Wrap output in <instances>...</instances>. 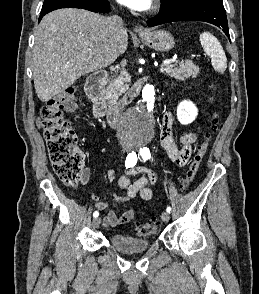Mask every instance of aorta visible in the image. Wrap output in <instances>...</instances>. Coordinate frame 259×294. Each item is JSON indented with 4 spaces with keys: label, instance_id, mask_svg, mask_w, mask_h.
I'll list each match as a JSON object with an SVG mask.
<instances>
[{
    "label": "aorta",
    "instance_id": "1",
    "mask_svg": "<svg viewBox=\"0 0 259 294\" xmlns=\"http://www.w3.org/2000/svg\"><path fill=\"white\" fill-rule=\"evenodd\" d=\"M155 90L145 85L138 106L130 109L121 120V131L134 142L147 143L153 138L154 116L152 113Z\"/></svg>",
    "mask_w": 259,
    "mask_h": 294
}]
</instances>
